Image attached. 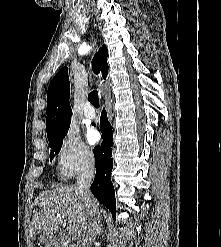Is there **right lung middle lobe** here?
Masks as SVG:
<instances>
[{
	"label": "right lung middle lobe",
	"instance_id": "obj_1",
	"mask_svg": "<svg viewBox=\"0 0 221 247\" xmlns=\"http://www.w3.org/2000/svg\"><path fill=\"white\" fill-rule=\"evenodd\" d=\"M69 127H67L62 133L48 138L49 139V146L51 147V154H50V159H53L55 154H58L61 150L63 139L66 136L68 132Z\"/></svg>",
	"mask_w": 221,
	"mask_h": 247
}]
</instances>
